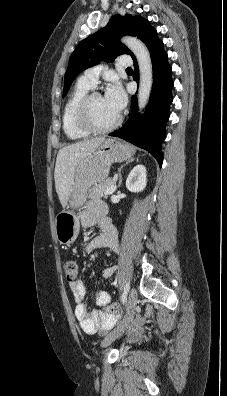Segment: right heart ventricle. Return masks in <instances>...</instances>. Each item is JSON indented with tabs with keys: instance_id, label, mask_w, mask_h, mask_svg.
<instances>
[{
	"instance_id": "1",
	"label": "right heart ventricle",
	"mask_w": 227,
	"mask_h": 396,
	"mask_svg": "<svg viewBox=\"0 0 227 396\" xmlns=\"http://www.w3.org/2000/svg\"><path fill=\"white\" fill-rule=\"evenodd\" d=\"M92 87L78 81L71 91L62 113V125L65 135L70 140H80L90 135V132L83 129L77 121V107L82 97L89 92Z\"/></svg>"
}]
</instances>
